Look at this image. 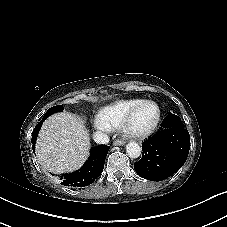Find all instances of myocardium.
<instances>
[{
    "mask_svg": "<svg viewBox=\"0 0 227 227\" xmlns=\"http://www.w3.org/2000/svg\"><path fill=\"white\" fill-rule=\"evenodd\" d=\"M143 104H152L157 108V118L155 122L147 129L145 130H135L130 127V122L134 116V114L137 112V110L143 105ZM161 120V108L158 103H156L153 100L145 99L141 100L136 106H134L128 114L125 116L123 121L121 122L120 125V131L122 134L129 138V139H142L145 138L149 135H151L157 126L159 125V122Z\"/></svg>",
    "mask_w": 227,
    "mask_h": 227,
    "instance_id": "f54148a6",
    "label": "myocardium"
}]
</instances>
